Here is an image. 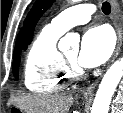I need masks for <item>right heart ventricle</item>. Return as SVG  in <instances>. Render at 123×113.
Wrapping results in <instances>:
<instances>
[{
	"instance_id": "1",
	"label": "right heart ventricle",
	"mask_w": 123,
	"mask_h": 113,
	"mask_svg": "<svg viewBox=\"0 0 123 113\" xmlns=\"http://www.w3.org/2000/svg\"><path fill=\"white\" fill-rule=\"evenodd\" d=\"M63 32L50 25L42 28L34 38L24 64V84L36 93H54L69 81L63 54L57 41Z\"/></svg>"
}]
</instances>
